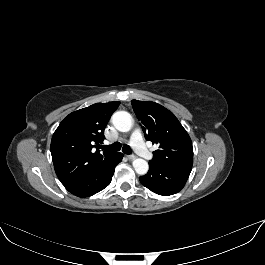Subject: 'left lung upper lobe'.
<instances>
[{
  "label": "left lung upper lobe",
  "instance_id": "1",
  "mask_svg": "<svg viewBox=\"0 0 265 265\" xmlns=\"http://www.w3.org/2000/svg\"><path fill=\"white\" fill-rule=\"evenodd\" d=\"M131 104L141 121L145 138L159 145L149 164L162 167H192V142L175 115L152 101L132 100Z\"/></svg>",
  "mask_w": 265,
  "mask_h": 265
}]
</instances>
